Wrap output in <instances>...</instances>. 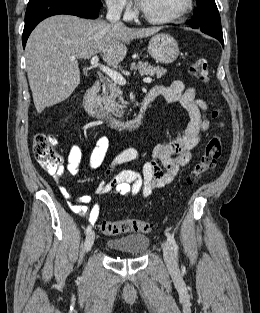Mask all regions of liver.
Masks as SVG:
<instances>
[{
    "mask_svg": "<svg viewBox=\"0 0 260 313\" xmlns=\"http://www.w3.org/2000/svg\"><path fill=\"white\" fill-rule=\"evenodd\" d=\"M160 29H134L72 15L43 20L32 31L25 48L27 75L37 112L64 101L80 84L78 59L99 53L108 65H118L127 54L125 44Z\"/></svg>",
    "mask_w": 260,
    "mask_h": 313,
    "instance_id": "6515ba94",
    "label": "liver"
}]
</instances>
